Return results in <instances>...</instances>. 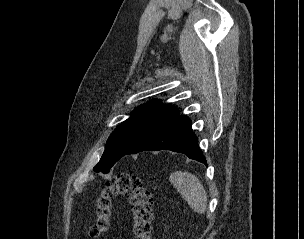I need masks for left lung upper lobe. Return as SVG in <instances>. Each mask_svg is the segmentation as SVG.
<instances>
[{
  "label": "left lung upper lobe",
  "instance_id": "1",
  "mask_svg": "<svg viewBox=\"0 0 304 239\" xmlns=\"http://www.w3.org/2000/svg\"><path fill=\"white\" fill-rule=\"evenodd\" d=\"M179 116L176 107L151 100L134 109L107 140L105 151L94 171L108 173L129 150L159 127Z\"/></svg>",
  "mask_w": 304,
  "mask_h": 239
}]
</instances>
